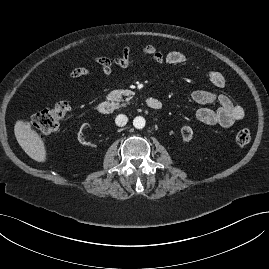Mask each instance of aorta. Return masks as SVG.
I'll use <instances>...</instances> for the list:
<instances>
[{
    "instance_id": "aorta-1",
    "label": "aorta",
    "mask_w": 269,
    "mask_h": 269,
    "mask_svg": "<svg viewBox=\"0 0 269 269\" xmlns=\"http://www.w3.org/2000/svg\"><path fill=\"white\" fill-rule=\"evenodd\" d=\"M145 118L142 116H137L133 120V125L136 129H142L145 127Z\"/></svg>"
}]
</instances>
